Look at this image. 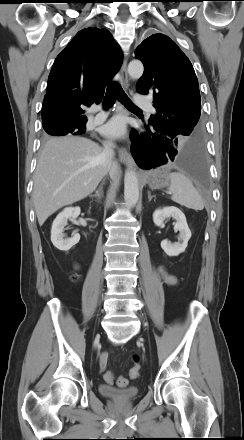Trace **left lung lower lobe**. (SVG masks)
Instances as JSON below:
<instances>
[{"instance_id": "0a47b994", "label": "left lung lower lobe", "mask_w": 244, "mask_h": 440, "mask_svg": "<svg viewBox=\"0 0 244 440\" xmlns=\"http://www.w3.org/2000/svg\"><path fill=\"white\" fill-rule=\"evenodd\" d=\"M131 153L143 169H151L168 162L189 175L203 181L206 176V156L203 135L190 139L184 146L170 138L163 129L154 122L143 129H132Z\"/></svg>"}]
</instances>
